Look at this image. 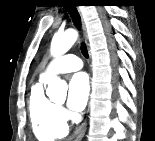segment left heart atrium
<instances>
[{"mask_svg":"<svg viewBox=\"0 0 155 141\" xmlns=\"http://www.w3.org/2000/svg\"><path fill=\"white\" fill-rule=\"evenodd\" d=\"M89 80L85 73L75 74L69 83L68 105L75 111L85 108L89 97Z\"/></svg>","mask_w":155,"mask_h":141,"instance_id":"1","label":"left heart atrium"}]
</instances>
